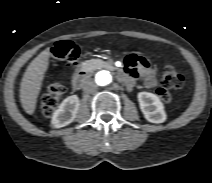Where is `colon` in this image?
<instances>
[{"label":"colon","instance_id":"obj_1","mask_svg":"<svg viewBox=\"0 0 212 183\" xmlns=\"http://www.w3.org/2000/svg\"><path fill=\"white\" fill-rule=\"evenodd\" d=\"M52 55L59 60H65L72 65H76L81 55V48L71 41H58L52 48ZM184 77L172 66H167L162 74L161 86L157 89L158 97L165 103L171 100L170 89H177L183 85ZM65 92L64 85L56 81L52 83L48 91L41 99V110L45 116H51L57 108L62 95Z\"/></svg>","mask_w":212,"mask_h":183}]
</instances>
